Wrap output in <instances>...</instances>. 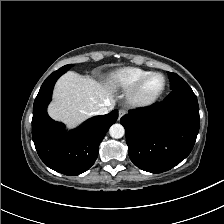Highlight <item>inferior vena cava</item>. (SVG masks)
Listing matches in <instances>:
<instances>
[{
    "label": "inferior vena cava",
    "instance_id": "1",
    "mask_svg": "<svg viewBox=\"0 0 224 224\" xmlns=\"http://www.w3.org/2000/svg\"><path fill=\"white\" fill-rule=\"evenodd\" d=\"M112 105L110 102L107 103V105L99 108L94 114L96 115H104V114H107L109 113V111L112 109Z\"/></svg>",
    "mask_w": 224,
    "mask_h": 224
}]
</instances>
